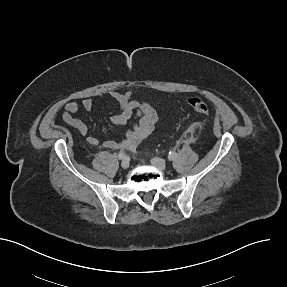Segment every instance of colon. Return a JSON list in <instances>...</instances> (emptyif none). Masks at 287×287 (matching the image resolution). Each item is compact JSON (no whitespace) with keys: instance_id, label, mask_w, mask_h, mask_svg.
<instances>
[{"instance_id":"obj_1","label":"colon","mask_w":287,"mask_h":287,"mask_svg":"<svg viewBox=\"0 0 287 287\" xmlns=\"http://www.w3.org/2000/svg\"><path fill=\"white\" fill-rule=\"evenodd\" d=\"M188 106L197 114H208L210 107L206 101L201 98L193 97L187 100Z\"/></svg>"}]
</instances>
